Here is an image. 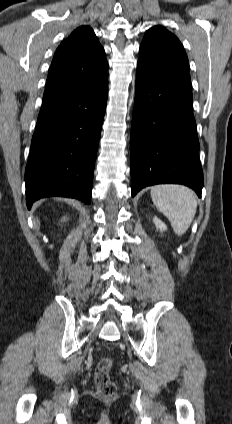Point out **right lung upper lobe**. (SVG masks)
Segmentation results:
<instances>
[{
    "label": "right lung upper lobe",
    "mask_w": 232,
    "mask_h": 424,
    "mask_svg": "<svg viewBox=\"0 0 232 424\" xmlns=\"http://www.w3.org/2000/svg\"><path fill=\"white\" fill-rule=\"evenodd\" d=\"M108 62L89 26H81L57 48L49 69L43 99L107 82Z\"/></svg>",
    "instance_id": "obj_1"
}]
</instances>
